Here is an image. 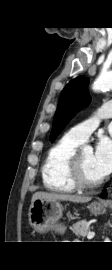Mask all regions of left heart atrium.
<instances>
[{"label":"left heart atrium","instance_id":"1","mask_svg":"<svg viewBox=\"0 0 112 270\" xmlns=\"http://www.w3.org/2000/svg\"><path fill=\"white\" fill-rule=\"evenodd\" d=\"M93 162L101 178L112 172V139L109 137L100 138L93 154Z\"/></svg>","mask_w":112,"mask_h":270}]
</instances>
